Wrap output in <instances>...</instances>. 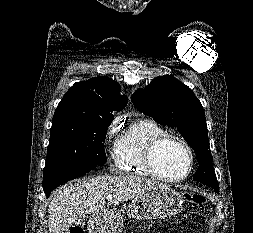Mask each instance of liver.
Listing matches in <instances>:
<instances>
[{
	"mask_svg": "<svg viewBox=\"0 0 253 233\" xmlns=\"http://www.w3.org/2000/svg\"><path fill=\"white\" fill-rule=\"evenodd\" d=\"M160 186L165 185L132 175H103L67 184L49 204V233H68L86 214L103 212L107 195L113 196V204H119Z\"/></svg>",
	"mask_w": 253,
	"mask_h": 233,
	"instance_id": "6515ba94",
	"label": "liver"
}]
</instances>
